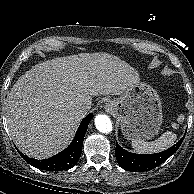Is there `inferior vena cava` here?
<instances>
[{
    "label": "inferior vena cava",
    "instance_id": "inferior-vena-cava-1",
    "mask_svg": "<svg viewBox=\"0 0 194 194\" xmlns=\"http://www.w3.org/2000/svg\"><path fill=\"white\" fill-rule=\"evenodd\" d=\"M88 108H89V106H88L87 104H81V105H80V110H81L82 112L87 111Z\"/></svg>",
    "mask_w": 194,
    "mask_h": 194
}]
</instances>
